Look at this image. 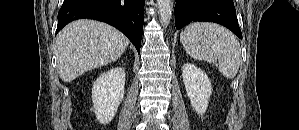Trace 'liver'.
Masks as SVG:
<instances>
[{
  "label": "liver",
  "mask_w": 299,
  "mask_h": 130,
  "mask_svg": "<svg viewBox=\"0 0 299 130\" xmlns=\"http://www.w3.org/2000/svg\"><path fill=\"white\" fill-rule=\"evenodd\" d=\"M129 45L116 28L94 20H77L55 39L60 78L71 82L83 73L116 61Z\"/></svg>",
  "instance_id": "liver-1"
}]
</instances>
